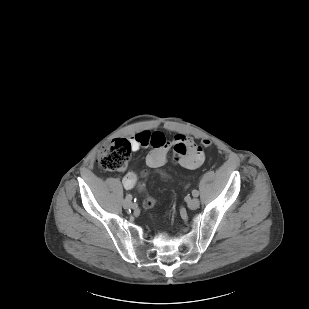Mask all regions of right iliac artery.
<instances>
[{"label":"right iliac artery","instance_id":"right-iliac-artery-1","mask_svg":"<svg viewBox=\"0 0 309 309\" xmlns=\"http://www.w3.org/2000/svg\"><path fill=\"white\" fill-rule=\"evenodd\" d=\"M126 198H127L128 200H131V199H132V195H131V194H128V195L126 196Z\"/></svg>","mask_w":309,"mask_h":309}]
</instances>
